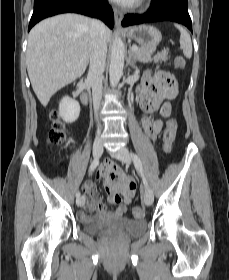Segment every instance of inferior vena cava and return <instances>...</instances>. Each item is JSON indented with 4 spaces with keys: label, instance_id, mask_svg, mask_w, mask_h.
<instances>
[{
    "label": "inferior vena cava",
    "instance_id": "1",
    "mask_svg": "<svg viewBox=\"0 0 229 280\" xmlns=\"http://www.w3.org/2000/svg\"><path fill=\"white\" fill-rule=\"evenodd\" d=\"M106 26L99 20H92L90 25L91 52L87 80L92 87L94 111L97 113L102 98V80L105 69L107 43L105 38ZM101 129L98 127L97 133Z\"/></svg>",
    "mask_w": 229,
    "mask_h": 280
}]
</instances>
